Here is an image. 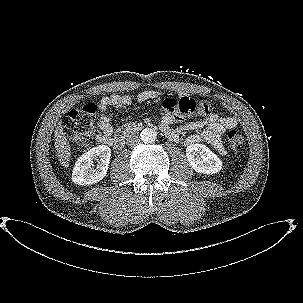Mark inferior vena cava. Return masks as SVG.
<instances>
[{"label":"inferior vena cava","instance_id":"inferior-vena-cava-1","mask_svg":"<svg viewBox=\"0 0 303 303\" xmlns=\"http://www.w3.org/2000/svg\"><path fill=\"white\" fill-rule=\"evenodd\" d=\"M140 142L138 133L131 132L126 135V144L129 146H135Z\"/></svg>","mask_w":303,"mask_h":303}]
</instances>
